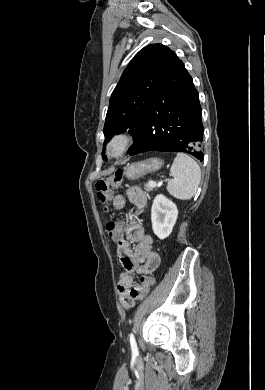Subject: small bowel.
Here are the masks:
<instances>
[{"label":"small bowel","instance_id":"obj_1","mask_svg":"<svg viewBox=\"0 0 265 390\" xmlns=\"http://www.w3.org/2000/svg\"><path fill=\"white\" fill-rule=\"evenodd\" d=\"M136 207L135 215L139 216L147 204V195L138 187H131L125 195H116L113 205L123 209L127 202ZM124 235L126 238H124ZM117 243V254L124 271L118 279L120 301L126 309H130L141 298V286L134 282V276L146 275L155 271L160 265V256L152 250L153 239L145 232L140 223H130L121 226V237ZM130 243H135L131 251Z\"/></svg>","mask_w":265,"mask_h":390}]
</instances>
